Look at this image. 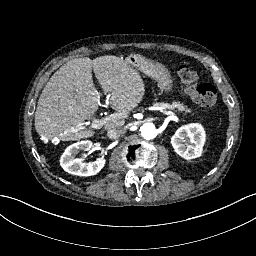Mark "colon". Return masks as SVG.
Here are the masks:
<instances>
[{
    "instance_id": "5ec220e1",
    "label": "colon",
    "mask_w": 256,
    "mask_h": 256,
    "mask_svg": "<svg viewBox=\"0 0 256 256\" xmlns=\"http://www.w3.org/2000/svg\"><path fill=\"white\" fill-rule=\"evenodd\" d=\"M180 82L186 93L201 107H213L217 101V92L211 84L197 85L198 72L189 65H181L178 69Z\"/></svg>"
}]
</instances>
